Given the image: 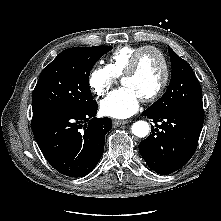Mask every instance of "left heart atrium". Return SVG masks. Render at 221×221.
Masks as SVG:
<instances>
[{
  "mask_svg": "<svg viewBox=\"0 0 221 221\" xmlns=\"http://www.w3.org/2000/svg\"><path fill=\"white\" fill-rule=\"evenodd\" d=\"M140 97L128 86H123L100 103V111L106 116L124 119L132 116L139 108Z\"/></svg>",
  "mask_w": 221,
  "mask_h": 221,
  "instance_id": "left-heart-atrium-1",
  "label": "left heart atrium"
}]
</instances>
